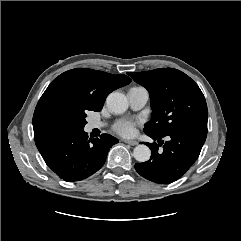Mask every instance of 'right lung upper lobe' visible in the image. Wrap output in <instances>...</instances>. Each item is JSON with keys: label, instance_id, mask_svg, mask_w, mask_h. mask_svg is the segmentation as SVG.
<instances>
[{"label": "right lung upper lobe", "instance_id": "1", "mask_svg": "<svg viewBox=\"0 0 241 241\" xmlns=\"http://www.w3.org/2000/svg\"><path fill=\"white\" fill-rule=\"evenodd\" d=\"M131 82L126 75L78 68L55 78L41 96L33 115L34 135L44 132L45 119L56 112L73 115L100 111L112 91Z\"/></svg>", "mask_w": 241, "mask_h": 241}]
</instances>
